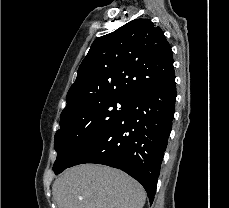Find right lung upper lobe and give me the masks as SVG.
<instances>
[{
	"label": "right lung upper lobe",
	"instance_id": "right-lung-upper-lobe-1",
	"mask_svg": "<svg viewBox=\"0 0 229 208\" xmlns=\"http://www.w3.org/2000/svg\"><path fill=\"white\" fill-rule=\"evenodd\" d=\"M174 75L173 55L163 31L150 19H135L92 43L67 94L61 117L107 96L134 99Z\"/></svg>",
	"mask_w": 229,
	"mask_h": 208
}]
</instances>
